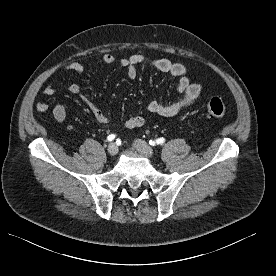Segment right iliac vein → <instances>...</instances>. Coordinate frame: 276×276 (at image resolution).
Masks as SVG:
<instances>
[{"mask_svg":"<svg viewBox=\"0 0 276 276\" xmlns=\"http://www.w3.org/2000/svg\"><path fill=\"white\" fill-rule=\"evenodd\" d=\"M108 153L111 156H115L118 153V146L115 143H111L108 146Z\"/></svg>","mask_w":276,"mask_h":276,"instance_id":"right-iliac-vein-1","label":"right iliac vein"}]
</instances>
